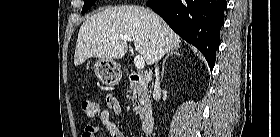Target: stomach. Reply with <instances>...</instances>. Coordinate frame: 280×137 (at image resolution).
Segmentation results:
<instances>
[{
    "mask_svg": "<svg viewBox=\"0 0 280 137\" xmlns=\"http://www.w3.org/2000/svg\"><path fill=\"white\" fill-rule=\"evenodd\" d=\"M94 68L96 76L105 85H116L121 80V68L114 60L100 58Z\"/></svg>",
    "mask_w": 280,
    "mask_h": 137,
    "instance_id": "1",
    "label": "stomach"
}]
</instances>
